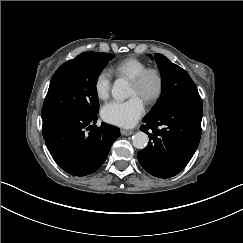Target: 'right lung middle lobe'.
Listing matches in <instances>:
<instances>
[{
    "label": "right lung middle lobe",
    "instance_id": "1",
    "mask_svg": "<svg viewBox=\"0 0 243 243\" xmlns=\"http://www.w3.org/2000/svg\"><path fill=\"white\" fill-rule=\"evenodd\" d=\"M114 54L86 52L62 64L53 75L42 108V120L62 112L98 114L96 82Z\"/></svg>",
    "mask_w": 243,
    "mask_h": 243
}]
</instances>
